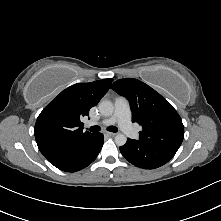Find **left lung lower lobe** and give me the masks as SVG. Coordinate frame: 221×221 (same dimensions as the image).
<instances>
[{"label":"left lung lower lobe","instance_id":"0a47b994","mask_svg":"<svg viewBox=\"0 0 221 221\" xmlns=\"http://www.w3.org/2000/svg\"><path fill=\"white\" fill-rule=\"evenodd\" d=\"M120 151L130 163L144 169H155L164 165L177 152L173 148L146 145L129 138L126 144L120 147Z\"/></svg>","mask_w":221,"mask_h":221}]
</instances>
